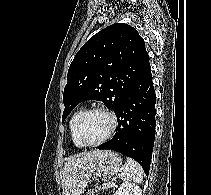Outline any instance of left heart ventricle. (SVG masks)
I'll list each match as a JSON object with an SVG mask.
<instances>
[{
	"label": "left heart ventricle",
	"mask_w": 211,
	"mask_h": 195,
	"mask_svg": "<svg viewBox=\"0 0 211 195\" xmlns=\"http://www.w3.org/2000/svg\"><path fill=\"white\" fill-rule=\"evenodd\" d=\"M110 118L102 112L86 115L80 127L81 139L86 143H94L102 139L110 129Z\"/></svg>",
	"instance_id": "b2bd125f"
}]
</instances>
